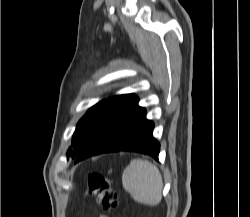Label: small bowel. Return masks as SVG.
I'll use <instances>...</instances> for the list:
<instances>
[{
	"mask_svg": "<svg viewBox=\"0 0 250 217\" xmlns=\"http://www.w3.org/2000/svg\"><path fill=\"white\" fill-rule=\"evenodd\" d=\"M99 217H106L105 215H100Z\"/></svg>",
	"mask_w": 250,
	"mask_h": 217,
	"instance_id": "obj_1",
	"label": "small bowel"
}]
</instances>
